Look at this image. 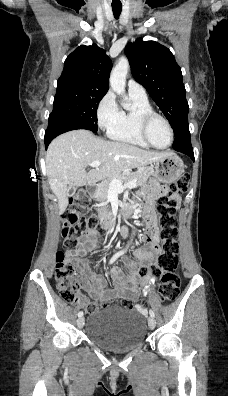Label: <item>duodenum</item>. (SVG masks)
Segmentation results:
<instances>
[{
  "mask_svg": "<svg viewBox=\"0 0 228 396\" xmlns=\"http://www.w3.org/2000/svg\"><path fill=\"white\" fill-rule=\"evenodd\" d=\"M89 194L90 196L94 197L95 187L90 188ZM131 212L132 209L130 207H126L121 212H118L111 220L102 221V224L104 225L105 229H112L120 221L129 217L131 215Z\"/></svg>",
  "mask_w": 228,
  "mask_h": 396,
  "instance_id": "410a0bca",
  "label": "duodenum"
}]
</instances>
